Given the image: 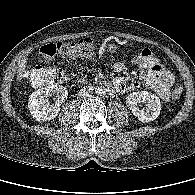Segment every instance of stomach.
Instances as JSON below:
<instances>
[{
	"label": "stomach",
	"mask_w": 195,
	"mask_h": 195,
	"mask_svg": "<svg viewBox=\"0 0 195 195\" xmlns=\"http://www.w3.org/2000/svg\"><path fill=\"white\" fill-rule=\"evenodd\" d=\"M116 49H117V46L115 44L108 45V51L110 53H115L116 52Z\"/></svg>",
	"instance_id": "1"
}]
</instances>
